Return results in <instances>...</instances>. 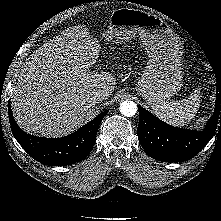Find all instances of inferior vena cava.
Here are the masks:
<instances>
[{"label":"inferior vena cava","instance_id":"602c4592","mask_svg":"<svg viewBox=\"0 0 221 221\" xmlns=\"http://www.w3.org/2000/svg\"><path fill=\"white\" fill-rule=\"evenodd\" d=\"M107 98V94L104 91H96L91 94V100L98 103Z\"/></svg>","mask_w":221,"mask_h":221}]
</instances>
